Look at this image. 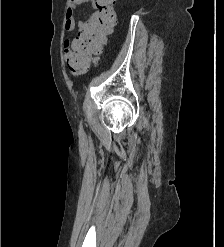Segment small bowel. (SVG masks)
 I'll return each instance as SVG.
<instances>
[{
  "label": "small bowel",
  "mask_w": 224,
  "mask_h": 247,
  "mask_svg": "<svg viewBox=\"0 0 224 247\" xmlns=\"http://www.w3.org/2000/svg\"><path fill=\"white\" fill-rule=\"evenodd\" d=\"M90 4L93 8H96V3L94 0H70L68 8L65 13L64 25L67 31H72L76 26H78L79 30L84 27L85 22L76 21L75 11L79 6ZM63 44L66 48V52L68 55V62L71 60L78 52V42L76 39H71L69 36H65L63 39Z\"/></svg>",
  "instance_id": "1"
}]
</instances>
